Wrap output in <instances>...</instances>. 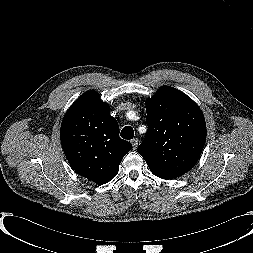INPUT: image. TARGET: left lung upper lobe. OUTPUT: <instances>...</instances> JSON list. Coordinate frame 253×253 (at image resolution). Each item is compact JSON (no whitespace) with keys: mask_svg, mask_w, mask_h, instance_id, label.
Returning a JSON list of instances; mask_svg holds the SVG:
<instances>
[{"mask_svg":"<svg viewBox=\"0 0 253 253\" xmlns=\"http://www.w3.org/2000/svg\"><path fill=\"white\" fill-rule=\"evenodd\" d=\"M148 132L138 153L150 171L172 179L198 161L206 141V124L197 104L183 92L162 86L146 102Z\"/></svg>","mask_w":253,"mask_h":253,"instance_id":"obj_1","label":"left lung upper lobe"}]
</instances>
